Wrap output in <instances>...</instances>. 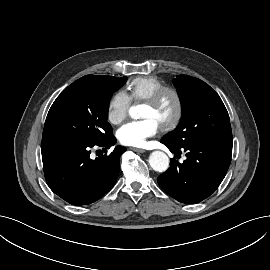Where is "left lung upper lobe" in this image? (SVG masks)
<instances>
[{"mask_svg": "<svg viewBox=\"0 0 270 270\" xmlns=\"http://www.w3.org/2000/svg\"><path fill=\"white\" fill-rule=\"evenodd\" d=\"M182 104V118L173 133L163 139L176 147L191 141L232 142L228 112L218 94L205 82L187 75L173 80Z\"/></svg>", "mask_w": 270, "mask_h": 270, "instance_id": "left-lung-upper-lobe-1", "label": "left lung upper lobe"}]
</instances>
